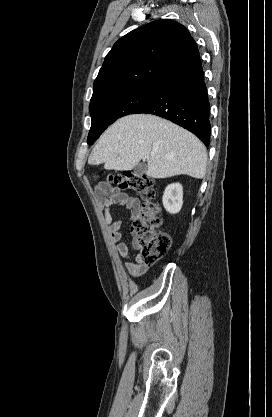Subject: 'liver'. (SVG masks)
Here are the masks:
<instances>
[{
  "label": "liver",
  "mask_w": 272,
  "mask_h": 417,
  "mask_svg": "<svg viewBox=\"0 0 272 417\" xmlns=\"http://www.w3.org/2000/svg\"><path fill=\"white\" fill-rule=\"evenodd\" d=\"M154 152V155L151 153ZM207 151L187 130L154 115L135 114L120 118L101 136L89 163L104 164L106 170H131L147 160L146 174L162 179L206 174Z\"/></svg>",
  "instance_id": "1"
}]
</instances>
